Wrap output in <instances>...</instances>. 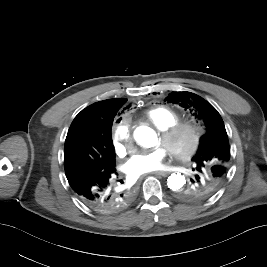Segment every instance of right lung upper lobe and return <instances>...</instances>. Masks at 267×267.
<instances>
[{
    "instance_id": "obj_1",
    "label": "right lung upper lobe",
    "mask_w": 267,
    "mask_h": 267,
    "mask_svg": "<svg viewBox=\"0 0 267 267\" xmlns=\"http://www.w3.org/2000/svg\"><path fill=\"white\" fill-rule=\"evenodd\" d=\"M127 102L125 98L103 100L82 110L73 120L70 127L78 124L92 130L101 141L112 128V119L119 109Z\"/></svg>"
}]
</instances>
